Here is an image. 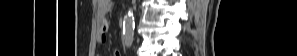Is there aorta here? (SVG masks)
<instances>
[{"instance_id": "aorta-1", "label": "aorta", "mask_w": 297, "mask_h": 56, "mask_svg": "<svg viewBox=\"0 0 297 56\" xmlns=\"http://www.w3.org/2000/svg\"><path fill=\"white\" fill-rule=\"evenodd\" d=\"M134 30V17L132 11L129 10L123 20V31L124 33L132 35Z\"/></svg>"}]
</instances>
